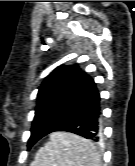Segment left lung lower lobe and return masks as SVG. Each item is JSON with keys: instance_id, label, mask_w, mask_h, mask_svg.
Masks as SVG:
<instances>
[{"instance_id": "left-lung-lower-lobe-1", "label": "left lung lower lobe", "mask_w": 135, "mask_h": 166, "mask_svg": "<svg viewBox=\"0 0 135 166\" xmlns=\"http://www.w3.org/2000/svg\"><path fill=\"white\" fill-rule=\"evenodd\" d=\"M100 100L93 79L82 72L58 110L40 125L31 128L28 149L42 137L56 131L72 132L97 142L101 135Z\"/></svg>"}]
</instances>
